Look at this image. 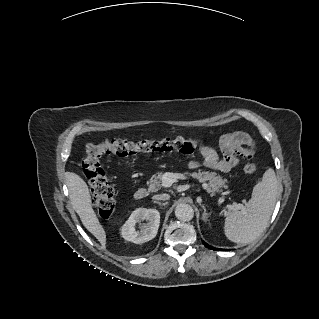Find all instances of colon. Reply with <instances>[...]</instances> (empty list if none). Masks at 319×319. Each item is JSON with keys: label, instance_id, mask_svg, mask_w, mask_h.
<instances>
[{"label": "colon", "instance_id": "colon-1", "mask_svg": "<svg viewBox=\"0 0 319 319\" xmlns=\"http://www.w3.org/2000/svg\"><path fill=\"white\" fill-rule=\"evenodd\" d=\"M202 142L196 139H165L160 141L143 140L127 141L116 138H105L96 143H90L85 147V156L81 162L82 172L87 179L95 208L101 218H108L114 211V190L109 184L103 159L113 155L118 157L135 156L140 153H172L183 155L194 154ZM252 154L249 156L251 157ZM246 174H255L258 169L252 163H246L243 167Z\"/></svg>", "mask_w": 319, "mask_h": 319}]
</instances>
